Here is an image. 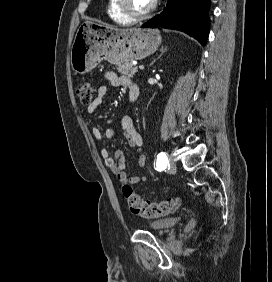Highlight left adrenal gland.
I'll return each instance as SVG.
<instances>
[{"label": "left adrenal gland", "mask_w": 272, "mask_h": 282, "mask_svg": "<svg viewBox=\"0 0 272 282\" xmlns=\"http://www.w3.org/2000/svg\"><path fill=\"white\" fill-rule=\"evenodd\" d=\"M166 51H167V47L162 46L160 48V55L150 63V66L153 65L158 59H160Z\"/></svg>", "instance_id": "left-adrenal-gland-1"}]
</instances>
